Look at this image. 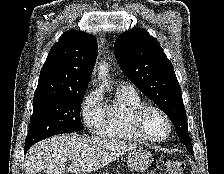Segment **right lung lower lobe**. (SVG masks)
I'll return each instance as SVG.
<instances>
[{"label":"right lung lower lobe","instance_id":"98d812e1","mask_svg":"<svg viewBox=\"0 0 224 174\" xmlns=\"http://www.w3.org/2000/svg\"><path fill=\"white\" fill-rule=\"evenodd\" d=\"M32 145H26L25 146V151H27Z\"/></svg>","mask_w":224,"mask_h":174}]
</instances>
